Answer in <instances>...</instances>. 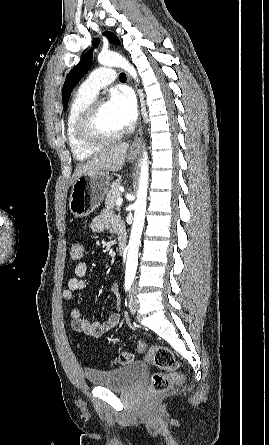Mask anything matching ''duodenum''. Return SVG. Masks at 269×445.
<instances>
[{"label": "duodenum", "mask_w": 269, "mask_h": 445, "mask_svg": "<svg viewBox=\"0 0 269 445\" xmlns=\"http://www.w3.org/2000/svg\"><path fill=\"white\" fill-rule=\"evenodd\" d=\"M118 251L120 255L126 252V235L123 231L118 233Z\"/></svg>", "instance_id": "410a0bca"}]
</instances>
